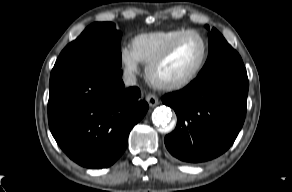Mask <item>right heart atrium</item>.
Segmentation results:
<instances>
[{"mask_svg":"<svg viewBox=\"0 0 292 192\" xmlns=\"http://www.w3.org/2000/svg\"><path fill=\"white\" fill-rule=\"evenodd\" d=\"M120 60L126 75L133 76L139 71L140 61L131 46L126 45L120 49Z\"/></svg>","mask_w":292,"mask_h":192,"instance_id":"d8ad5b80","label":"right heart atrium"}]
</instances>
